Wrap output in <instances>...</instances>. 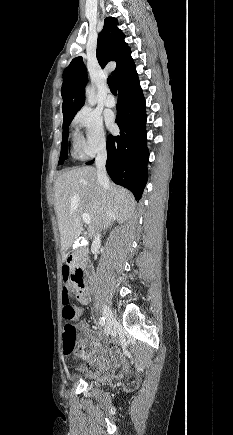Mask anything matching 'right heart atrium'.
Here are the masks:
<instances>
[{"mask_svg":"<svg viewBox=\"0 0 233 435\" xmlns=\"http://www.w3.org/2000/svg\"><path fill=\"white\" fill-rule=\"evenodd\" d=\"M73 125L84 130L76 141V150L82 157H92L106 147L103 122L98 113L90 108H82L73 119Z\"/></svg>","mask_w":233,"mask_h":435,"instance_id":"obj_1","label":"right heart atrium"}]
</instances>
